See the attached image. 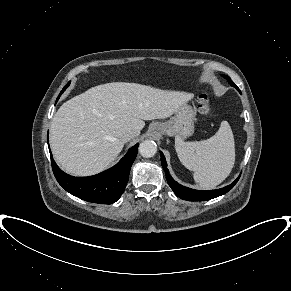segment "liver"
Returning <instances> with one entry per match:
<instances>
[{"mask_svg":"<svg viewBox=\"0 0 291 291\" xmlns=\"http://www.w3.org/2000/svg\"><path fill=\"white\" fill-rule=\"evenodd\" d=\"M192 98L189 93L137 83L92 87L65 102L54 115L50 128L54 159L69 174H97L122 151L124 132L140 134L144 120L170 117Z\"/></svg>","mask_w":291,"mask_h":291,"instance_id":"obj_1","label":"liver"}]
</instances>
